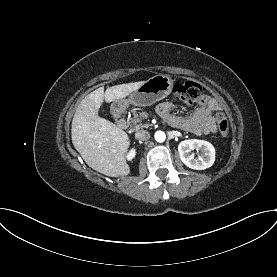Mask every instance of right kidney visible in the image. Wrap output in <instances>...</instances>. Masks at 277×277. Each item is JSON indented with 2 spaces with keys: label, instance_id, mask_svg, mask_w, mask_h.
Listing matches in <instances>:
<instances>
[{
  "label": "right kidney",
  "instance_id": "right-kidney-1",
  "mask_svg": "<svg viewBox=\"0 0 277 277\" xmlns=\"http://www.w3.org/2000/svg\"><path fill=\"white\" fill-rule=\"evenodd\" d=\"M135 155H136V150L134 148H132L126 157L128 160H132L135 157Z\"/></svg>",
  "mask_w": 277,
  "mask_h": 277
}]
</instances>
